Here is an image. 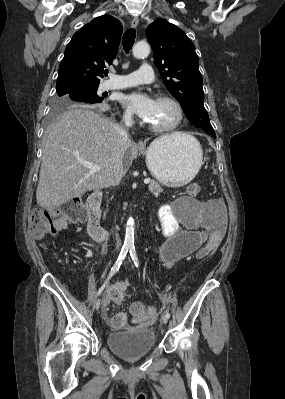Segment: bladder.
<instances>
[{
	"mask_svg": "<svg viewBox=\"0 0 285 399\" xmlns=\"http://www.w3.org/2000/svg\"><path fill=\"white\" fill-rule=\"evenodd\" d=\"M194 202L188 197H180L174 201L180 209ZM109 349L117 356L133 360L152 352L156 345V335L153 330L137 329L127 332H110L106 336Z\"/></svg>",
	"mask_w": 285,
	"mask_h": 399,
	"instance_id": "31cf9c89",
	"label": "bladder"
}]
</instances>
